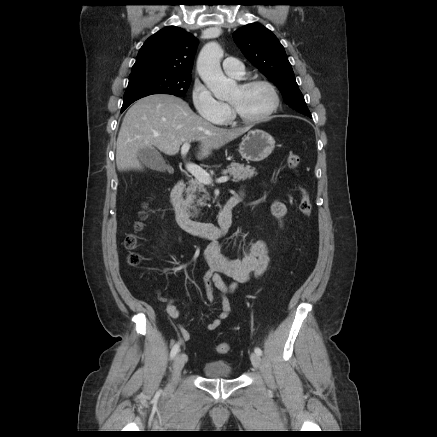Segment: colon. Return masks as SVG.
Wrapping results in <instances>:
<instances>
[{
  "label": "colon",
  "instance_id": "obj_1",
  "mask_svg": "<svg viewBox=\"0 0 437 437\" xmlns=\"http://www.w3.org/2000/svg\"><path fill=\"white\" fill-rule=\"evenodd\" d=\"M287 166L291 170H297L300 164V156L296 152H289L287 156ZM299 210L300 212L308 217L311 214L312 211V202L309 194L306 192V190L301 189V198L299 202ZM146 216L145 211L141 212V218H144ZM136 231H140L142 229V222H138L135 226ZM138 235L136 233L130 234L125 239V246L127 249L130 250V254L128 257V261L130 265L136 266L139 264L140 257L139 255L134 251L136 247L138 246ZM230 346L226 342H221L216 345V351L220 354H225L229 351Z\"/></svg>",
  "mask_w": 437,
  "mask_h": 437
}]
</instances>
